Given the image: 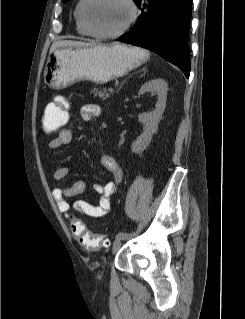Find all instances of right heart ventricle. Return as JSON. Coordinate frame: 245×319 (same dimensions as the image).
I'll return each mask as SVG.
<instances>
[{
    "label": "right heart ventricle",
    "instance_id": "e07e8e85",
    "mask_svg": "<svg viewBox=\"0 0 245 319\" xmlns=\"http://www.w3.org/2000/svg\"><path fill=\"white\" fill-rule=\"evenodd\" d=\"M84 0H78L74 9V19H75V26L77 32L82 36H89L90 34L86 30L82 18H81V9L83 6Z\"/></svg>",
    "mask_w": 245,
    "mask_h": 319
}]
</instances>
